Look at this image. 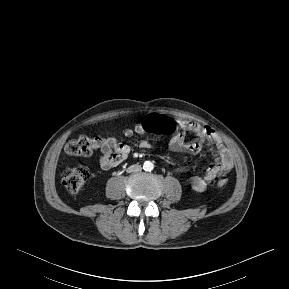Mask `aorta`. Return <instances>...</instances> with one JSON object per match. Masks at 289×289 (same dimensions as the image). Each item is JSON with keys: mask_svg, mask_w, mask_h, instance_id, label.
<instances>
[{"mask_svg": "<svg viewBox=\"0 0 289 289\" xmlns=\"http://www.w3.org/2000/svg\"><path fill=\"white\" fill-rule=\"evenodd\" d=\"M143 169L150 172L154 169V164L151 161H145L143 164Z\"/></svg>", "mask_w": 289, "mask_h": 289, "instance_id": "aorta-1", "label": "aorta"}]
</instances>
